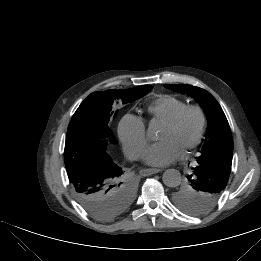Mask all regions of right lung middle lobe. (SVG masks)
I'll return each mask as SVG.
<instances>
[{
  "label": "right lung middle lobe",
  "mask_w": 261,
  "mask_h": 261,
  "mask_svg": "<svg viewBox=\"0 0 261 261\" xmlns=\"http://www.w3.org/2000/svg\"><path fill=\"white\" fill-rule=\"evenodd\" d=\"M152 86L143 85L127 90H107L91 93L74 113L68 130L86 128L113 143L114 137L108 122L114 114V106L119 101L128 103L146 95ZM117 112V111H116ZM72 191L81 206L94 218L110 221L121 215L132 203L135 187L131 179L122 173L99 183Z\"/></svg>",
  "instance_id": "dd1d6c3e"
}]
</instances>
